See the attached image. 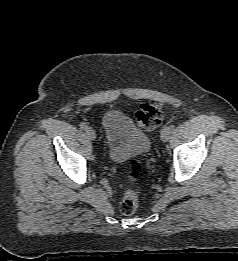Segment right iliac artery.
<instances>
[{"instance_id": "82829eb1", "label": "right iliac artery", "mask_w": 238, "mask_h": 261, "mask_svg": "<svg viewBox=\"0 0 238 261\" xmlns=\"http://www.w3.org/2000/svg\"><path fill=\"white\" fill-rule=\"evenodd\" d=\"M79 126H80V128L83 129V130H86V128H87V125H86L85 123H83V122L80 123Z\"/></svg>"}]
</instances>
